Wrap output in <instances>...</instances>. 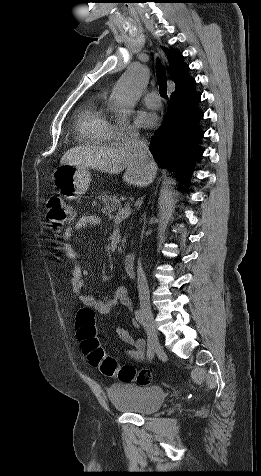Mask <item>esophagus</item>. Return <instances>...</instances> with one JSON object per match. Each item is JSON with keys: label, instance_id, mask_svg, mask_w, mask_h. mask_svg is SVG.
I'll use <instances>...</instances> for the list:
<instances>
[{"label": "esophagus", "instance_id": "esophagus-1", "mask_svg": "<svg viewBox=\"0 0 261 476\" xmlns=\"http://www.w3.org/2000/svg\"><path fill=\"white\" fill-rule=\"evenodd\" d=\"M163 61H164L166 64H168V60H167V58H166L165 56H163Z\"/></svg>", "mask_w": 261, "mask_h": 476}]
</instances>
